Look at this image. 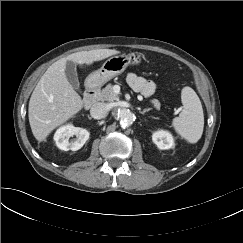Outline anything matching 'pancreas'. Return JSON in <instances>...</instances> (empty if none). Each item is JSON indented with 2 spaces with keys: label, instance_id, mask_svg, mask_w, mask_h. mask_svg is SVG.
<instances>
[{
  "label": "pancreas",
  "instance_id": "cf45deb5",
  "mask_svg": "<svg viewBox=\"0 0 243 243\" xmlns=\"http://www.w3.org/2000/svg\"><path fill=\"white\" fill-rule=\"evenodd\" d=\"M117 98L118 95L114 93V86L112 84H108L104 89H102L99 94V100L101 101L113 102L114 100H117ZM150 102L152 103L154 108H156L157 110L160 109L161 104L157 99H152Z\"/></svg>",
  "mask_w": 243,
  "mask_h": 243
}]
</instances>
